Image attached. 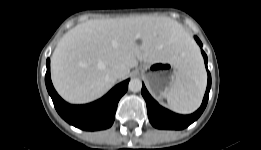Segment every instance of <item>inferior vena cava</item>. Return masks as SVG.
<instances>
[{
    "mask_svg": "<svg viewBox=\"0 0 261 150\" xmlns=\"http://www.w3.org/2000/svg\"><path fill=\"white\" fill-rule=\"evenodd\" d=\"M111 73L115 78L121 79L129 73V70L123 64H117L113 66Z\"/></svg>",
    "mask_w": 261,
    "mask_h": 150,
    "instance_id": "602c4592",
    "label": "inferior vena cava"
}]
</instances>
